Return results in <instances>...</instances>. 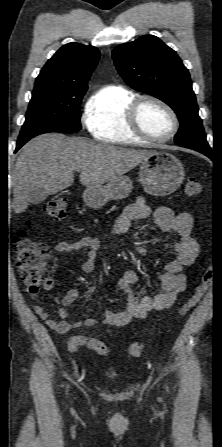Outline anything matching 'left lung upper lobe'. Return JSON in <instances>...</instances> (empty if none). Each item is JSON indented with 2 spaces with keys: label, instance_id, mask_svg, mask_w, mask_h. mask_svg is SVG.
I'll return each mask as SVG.
<instances>
[{
  "label": "left lung upper lobe",
  "instance_id": "5c2ea615",
  "mask_svg": "<svg viewBox=\"0 0 222 447\" xmlns=\"http://www.w3.org/2000/svg\"><path fill=\"white\" fill-rule=\"evenodd\" d=\"M112 54L119 74L130 87L164 101L178 115L180 129L174 138L176 144L210 149L188 69L174 50L158 37L144 35L118 45Z\"/></svg>",
  "mask_w": 222,
  "mask_h": 447
}]
</instances>
